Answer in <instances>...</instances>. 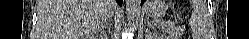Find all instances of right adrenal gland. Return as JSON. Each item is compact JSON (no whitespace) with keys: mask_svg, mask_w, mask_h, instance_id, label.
Segmentation results:
<instances>
[{"mask_svg":"<svg viewBox=\"0 0 249 39\" xmlns=\"http://www.w3.org/2000/svg\"><path fill=\"white\" fill-rule=\"evenodd\" d=\"M106 24H107V21L102 25L103 30H102V33H101V34H103L104 36H105L104 28L106 27Z\"/></svg>","mask_w":249,"mask_h":39,"instance_id":"2a0ac1e0","label":"right adrenal gland"}]
</instances>
